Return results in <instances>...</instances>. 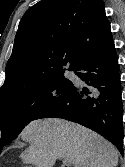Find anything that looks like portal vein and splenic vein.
<instances>
[{"instance_id":"portal-vein-and-splenic-vein-1","label":"portal vein and splenic vein","mask_w":125,"mask_h":167,"mask_svg":"<svg viewBox=\"0 0 125 167\" xmlns=\"http://www.w3.org/2000/svg\"><path fill=\"white\" fill-rule=\"evenodd\" d=\"M63 164L69 165V164H71V162H70V160L68 158H64L63 159Z\"/></svg>"}]
</instances>
